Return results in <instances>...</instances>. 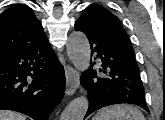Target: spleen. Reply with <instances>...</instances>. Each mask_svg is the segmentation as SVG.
I'll list each match as a JSON object with an SVG mask.
<instances>
[{"mask_svg": "<svg viewBox=\"0 0 165 120\" xmlns=\"http://www.w3.org/2000/svg\"><path fill=\"white\" fill-rule=\"evenodd\" d=\"M92 120H146L136 107L126 104L108 106L101 109Z\"/></svg>", "mask_w": 165, "mask_h": 120, "instance_id": "obj_1", "label": "spleen"}]
</instances>
